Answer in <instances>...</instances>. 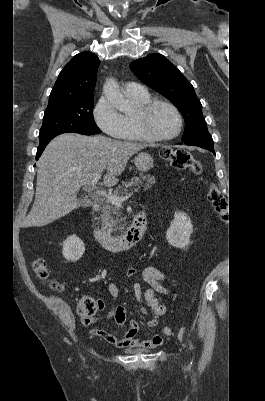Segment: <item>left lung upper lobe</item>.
Listing matches in <instances>:
<instances>
[{"label": "left lung upper lobe", "instance_id": "obj_1", "mask_svg": "<svg viewBox=\"0 0 265 401\" xmlns=\"http://www.w3.org/2000/svg\"><path fill=\"white\" fill-rule=\"evenodd\" d=\"M133 73L146 85L169 99L185 120L182 141L207 134L202 105L192 84L161 54H151L130 64Z\"/></svg>", "mask_w": 265, "mask_h": 401}]
</instances>
